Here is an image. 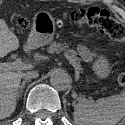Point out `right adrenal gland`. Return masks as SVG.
<instances>
[{"label":"right adrenal gland","instance_id":"obj_1","mask_svg":"<svg viewBox=\"0 0 125 125\" xmlns=\"http://www.w3.org/2000/svg\"><path fill=\"white\" fill-rule=\"evenodd\" d=\"M29 80H23L21 85L19 86V89L17 91V98H20L22 96L23 90L25 88V84L28 82Z\"/></svg>","mask_w":125,"mask_h":125}]
</instances>
